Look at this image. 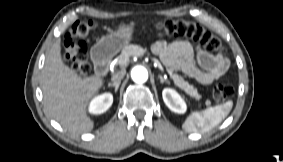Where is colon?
I'll use <instances>...</instances> for the list:
<instances>
[{
  "label": "colon",
  "instance_id": "1",
  "mask_svg": "<svg viewBox=\"0 0 283 162\" xmlns=\"http://www.w3.org/2000/svg\"><path fill=\"white\" fill-rule=\"evenodd\" d=\"M93 21L76 22L64 39L63 56L72 69L79 75H86L90 70L88 48L84 39L95 29ZM161 35L183 38L187 37L202 44L209 51L219 55L225 53L220 39L199 24L183 19H167L155 25ZM234 94L233 87L228 83H218L213 87L212 97L216 103H223Z\"/></svg>",
  "mask_w": 283,
  "mask_h": 162
}]
</instances>
